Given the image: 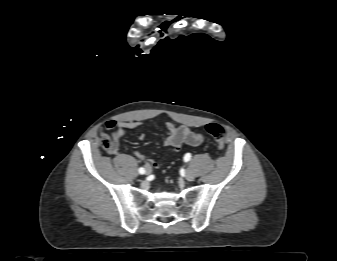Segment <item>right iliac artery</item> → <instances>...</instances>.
<instances>
[{"mask_svg": "<svg viewBox=\"0 0 337 261\" xmlns=\"http://www.w3.org/2000/svg\"><path fill=\"white\" fill-rule=\"evenodd\" d=\"M139 173H140V174H144V173H145V169H144V168H142V167H141V168H139Z\"/></svg>", "mask_w": 337, "mask_h": 261, "instance_id": "1", "label": "right iliac artery"}]
</instances>
